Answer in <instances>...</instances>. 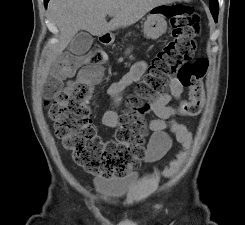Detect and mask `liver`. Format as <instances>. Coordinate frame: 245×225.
<instances>
[{
  "label": "liver",
  "mask_w": 245,
  "mask_h": 225,
  "mask_svg": "<svg viewBox=\"0 0 245 225\" xmlns=\"http://www.w3.org/2000/svg\"><path fill=\"white\" fill-rule=\"evenodd\" d=\"M173 0H50L48 9L59 29L58 42L48 53L41 73L46 80L51 64L56 60L80 30L101 36L120 27L138 22L158 5ZM113 13L108 23L106 15Z\"/></svg>",
  "instance_id": "1"
}]
</instances>
